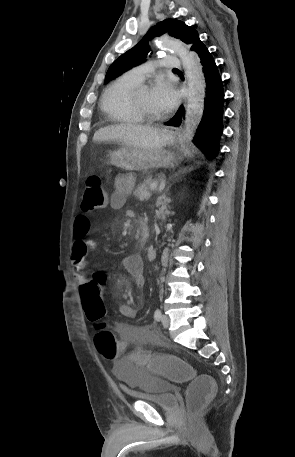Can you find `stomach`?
I'll list each match as a JSON object with an SVG mask.
<instances>
[{
	"label": "stomach",
	"instance_id": "obj_1",
	"mask_svg": "<svg viewBox=\"0 0 295 457\" xmlns=\"http://www.w3.org/2000/svg\"><path fill=\"white\" fill-rule=\"evenodd\" d=\"M168 143L174 140V134L168 131ZM109 163L125 170H148L151 168L168 167L174 162L171 152L156 148L140 150L130 146H122L109 153Z\"/></svg>",
	"mask_w": 295,
	"mask_h": 457
}]
</instances>
